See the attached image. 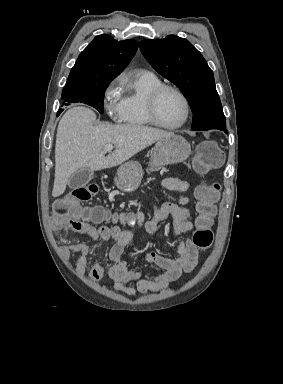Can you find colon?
<instances>
[{
    "mask_svg": "<svg viewBox=\"0 0 283 384\" xmlns=\"http://www.w3.org/2000/svg\"><path fill=\"white\" fill-rule=\"evenodd\" d=\"M223 161V155L213 141L200 143L196 150L195 166L199 172H207L217 168ZM97 192V186L89 185L69 192L64 198L56 201L54 211L59 216L71 219H88L99 223L107 219L106 212L101 208L86 209L82 203L90 200ZM221 186L217 182L204 183L196 187V229L192 236L194 245L205 250L213 240L212 226L217 213V202L220 198ZM130 216L129 221H134Z\"/></svg>",
    "mask_w": 283,
    "mask_h": 384,
    "instance_id": "1",
    "label": "colon"
}]
</instances>
